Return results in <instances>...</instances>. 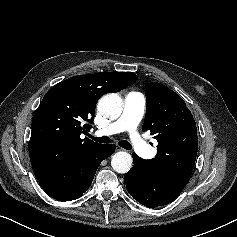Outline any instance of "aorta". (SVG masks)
<instances>
[{
	"instance_id": "aorta-1",
	"label": "aorta",
	"mask_w": 237,
	"mask_h": 237,
	"mask_svg": "<svg viewBox=\"0 0 237 237\" xmlns=\"http://www.w3.org/2000/svg\"><path fill=\"white\" fill-rule=\"evenodd\" d=\"M97 108L103 116L116 119L123 110L122 99L114 93L106 94L98 101ZM111 166L117 173H127L132 167V157L127 152H117L112 157Z\"/></svg>"
}]
</instances>
